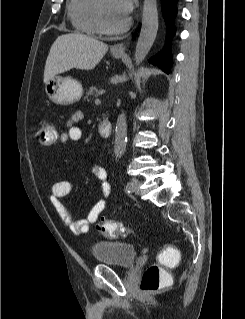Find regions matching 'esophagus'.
<instances>
[{
	"instance_id": "1",
	"label": "esophagus",
	"mask_w": 245,
	"mask_h": 319,
	"mask_svg": "<svg viewBox=\"0 0 245 319\" xmlns=\"http://www.w3.org/2000/svg\"><path fill=\"white\" fill-rule=\"evenodd\" d=\"M126 45L124 43H118L112 47V51L118 54L125 53Z\"/></svg>"
}]
</instances>
